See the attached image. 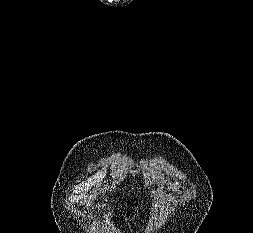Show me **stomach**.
Wrapping results in <instances>:
<instances>
[{"label":"stomach","instance_id":"obj_1","mask_svg":"<svg viewBox=\"0 0 253 233\" xmlns=\"http://www.w3.org/2000/svg\"><path fill=\"white\" fill-rule=\"evenodd\" d=\"M136 210L138 211V207L135 208V211H136Z\"/></svg>","mask_w":253,"mask_h":233}]
</instances>
